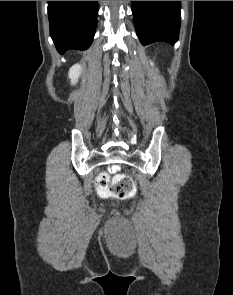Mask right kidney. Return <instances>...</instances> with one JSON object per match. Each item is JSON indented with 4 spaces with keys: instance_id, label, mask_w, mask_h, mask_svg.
I'll return each mask as SVG.
<instances>
[{
    "instance_id": "right-kidney-1",
    "label": "right kidney",
    "mask_w": 233,
    "mask_h": 295,
    "mask_svg": "<svg viewBox=\"0 0 233 295\" xmlns=\"http://www.w3.org/2000/svg\"><path fill=\"white\" fill-rule=\"evenodd\" d=\"M82 72V66L80 64L73 65L68 73L71 83L74 85L77 83L78 78Z\"/></svg>"
}]
</instances>
